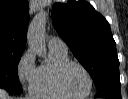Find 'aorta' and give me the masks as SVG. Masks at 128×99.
<instances>
[{
	"label": "aorta",
	"mask_w": 128,
	"mask_h": 99,
	"mask_svg": "<svg viewBox=\"0 0 128 99\" xmlns=\"http://www.w3.org/2000/svg\"><path fill=\"white\" fill-rule=\"evenodd\" d=\"M46 16L40 12L31 22L28 31V45L37 51L40 56H45L44 26Z\"/></svg>",
	"instance_id": "aorta-1"
}]
</instances>
